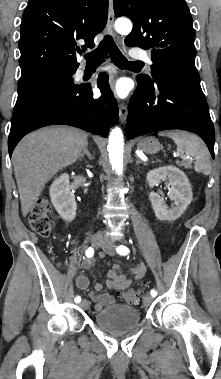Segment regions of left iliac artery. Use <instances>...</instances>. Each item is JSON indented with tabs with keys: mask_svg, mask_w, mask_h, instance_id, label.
Instances as JSON below:
<instances>
[{
	"mask_svg": "<svg viewBox=\"0 0 221 379\" xmlns=\"http://www.w3.org/2000/svg\"><path fill=\"white\" fill-rule=\"evenodd\" d=\"M116 251L120 255H127L129 253V249L126 246H123V245L118 246L116 248ZM150 294H151L152 297H156L157 296V291L155 289H152L150 291Z\"/></svg>",
	"mask_w": 221,
	"mask_h": 379,
	"instance_id": "obj_1",
	"label": "left iliac artery"
}]
</instances>
